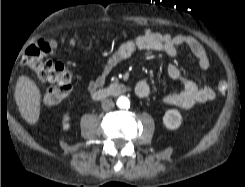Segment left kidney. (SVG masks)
Wrapping results in <instances>:
<instances>
[{"instance_id": "obj_1", "label": "left kidney", "mask_w": 245, "mask_h": 187, "mask_svg": "<svg viewBox=\"0 0 245 187\" xmlns=\"http://www.w3.org/2000/svg\"><path fill=\"white\" fill-rule=\"evenodd\" d=\"M182 116L177 109H169L163 116V124L167 129L174 130L180 127Z\"/></svg>"}]
</instances>
